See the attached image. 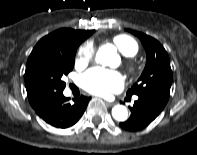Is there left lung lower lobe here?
Returning <instances> with one entry per match:
<instances>
[{
    "mask_svg": "<svg viewBox=\"0 0 197 155\" xmlns=\"http://www.w3.org/2000/svg\"><path fill=\"white\" fill-rule=\"evenodd\" d=\"M165 106L144 97H139L130 107V118L120 123V126L128 131H138L148 126L163 110Z\"/></svg>",
    "mask_w": 197,
    "mask_h": 155,
    "instance_id": "left-lung-lower-lobe-1",
    "label": "left lung lower lobe"
}]
</instances>
